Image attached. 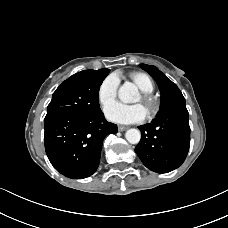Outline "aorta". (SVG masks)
Masks as SVG:
<instances>
[{
    "label": "aorta",
    "mask_w": 228,
    "mask_h": 228,
    "mask_svg": "<svg viewBox=\"0 0 228 228\" xmlns=\"http://www.w3.org/2000/svg\"><path fill=\"white\" fill-rule=\"evenodd\" d=\"M120 100L124 103L136 102L138 96L137 87L131 82H125L118 91ZM126 140L131 144H138L141 139V133L138 129L131 128L125 133Z\"/></svg>",
    "instance_id": "aorta-1"
}]
</instances>
